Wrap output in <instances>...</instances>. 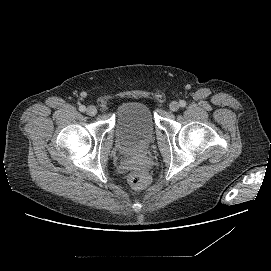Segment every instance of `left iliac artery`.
Instances as JSON below:
<instances>
[{"instance_id": "1", "label": "left iliac artery", "mask_w": 271, "mask_h": 271, "mask_svg": "<svg viewBox=\"0 0 271 271\" xmlns=\"http://www.w3.org/2000/svg\"><path fill=\"white\" fill-rule=\"evenodd\" d=\"M179 105H180V107H185V106H186V101L181 100V101L179 102Z\"/></svg>"}]
</instances>
